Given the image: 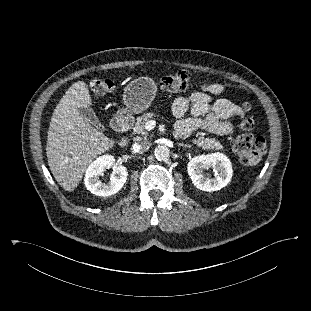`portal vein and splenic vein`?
I'll list each match as a JSON object with an SVG mask.
<instances>
[{"label": "portal vein and splenic vein", "mask_w": 311, "mask_h": 311, "mask_svg": "<svg viewBox=\"0 0 311 311\" xmlns=\"http://www.w3.org/2000/svg\"><path fill=\"white\" fill-rule=\"evenodd\" d=\"M155 125H156L155 121L150 120L145 124V129L150 131V130L154 129Z\"/></svg>", "instance_id": "portal-vein-and-splenic-vein-1"}]
</instances>
